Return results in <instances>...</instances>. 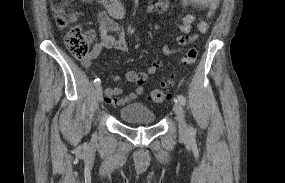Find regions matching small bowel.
I'll list each match as a JSON object with an SVG mask.
<instances>
[{"instance_id":"1","label":"small bowel","mask_w":285,"mask_h":183,"mask_svg":"<svg viewBox=\"0 0 285 183\" xmlns=\"http://www.w3.org/2000/svg\"><path fill=\"white\" fill-rule=\"evenodd\" d=\"M104 10L97 13L99 23L100 42L96 43L87 58L82 60V65L89 69L93 60L97 59L101 52L105 49H114L127 53L129 45L125 37L124 29L117 23V20L123 19L125 10L120 0H97ZM185 5L195 9H206L207 14L197 23L198 31L205 33L209 29V23L219 6L220 0H182ZM169 6L168 0H150L146 8L147 14L164 13ZM196 22V16L193 13H187L178 20L179 34L176 36V43L180 46L178 49L172 48L169 44L162 47V52L166 56L173 55L188 44L197 40V34H192L191 30ZM156 27V30H159ZM162 60L154 59L146 71H128L126 78L129 82L136 85L134 92L122 96L123 89L121 87H107L105 89V102L112 106L125 105L144 91V84L149 75L155 74L162 67ZM117 79V77H114Z\"/></svg>"}]
</instances>
